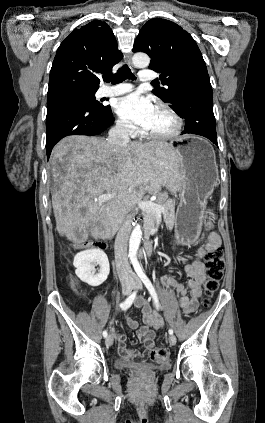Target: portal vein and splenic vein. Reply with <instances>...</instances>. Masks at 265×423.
<instances>
[{
    "instance_id": "portal-vein-and-splenic-vein-1",
    "label": "portal vein and splenic vein",
    "mask_w": 265,
    "mask_h": 423,
    "mask_svg": "<svg viewBox=\"0 0 265 423\" xmlns=\"http://www.w3.org/2000/svg\"><path fill=\"white\" fill-rule=\"evenodd\" d=\"M116 196H117L116 193H111V194H108V195H103V196H100L98 198H95V201L99 204H102L106 200H108L109 198H113V197H116ZM137 204H138V207L142 211H144L146 213H154L158 217V221L161 220V214L164 211V208L162 206H160L157 203L152 202V201H142V200H139Z\"/></svg>"
}]
</instances>
